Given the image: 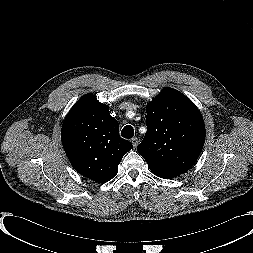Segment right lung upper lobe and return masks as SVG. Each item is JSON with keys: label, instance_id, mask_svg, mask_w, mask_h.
I'll use <instances>...</instances> for the list:
<instances>
[{"label": "right lung upper lobe", "instance_id": "right-lung-upper-lobe-1", "mask_svg": "<svg viewBox=\"0 0 253 253\" xmlns=\"http://www.w3.org/2000/svg\"><path fill=\"white\" fill-rule=\"evenodd\" d=\"M61 140L75 170L97 183L111 180L123 156L133 148L119 136L118 121L108 106L91 94L71 108L63 122Z\"/></svg>", "mask_w": 253, "mask_h": 253}]
</instances>
